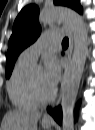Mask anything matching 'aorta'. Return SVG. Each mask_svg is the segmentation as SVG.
<instances>
[{
  "label": "aorta",
  "mask_w": 95,
  "mask_h": 130,
  "mask_svg": "<svg viewBox=\"0 0 95 130\" xmlns=\"http://www.w3.org/2000/svg\"><path fill=\"white\" fill-rule=\"evenodd\" d=\"M39 22H63L70 28L74 38V51L61 87L62 130H74V107L87 59L88 30L77 12L64 7L44 9L39 15Z\"/></svg>",
  "instance_id": "762f6f07"
}]
</instances>
